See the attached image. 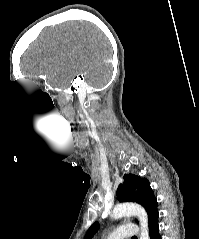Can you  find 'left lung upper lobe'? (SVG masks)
I'll return each mask as SVG.
<instances>
[{"label":"left lung upper lobe","instance_id":"left-lung-upper-lobe-1","mask_svg":"<svg viewBox=\"0 0 199 239\" xmlns=\"http://www.w3.org/2000/svg\"><path fill=\"white\" fill-rule=\"evenodd\" d=\"M120 202H136L141 204L148 214V220L157 212V199L150 187L148 179L134 174H125L123 184L117 189ZM99 229V223H93L84 239H91Z\"/></svg>","mask_w":199,"mask_h":239}]
</instances>
